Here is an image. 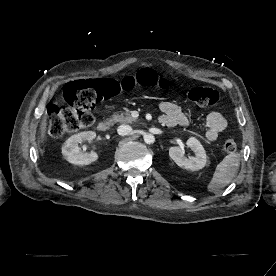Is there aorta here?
<instances>
[{
    "label": "aorta",
    "instance_id": "762f6f07",
    "mask_svg": "<svg viewBox=\"0 0 276 276\" xmlns=\"http://www.w3.org/2000/svg\"><path fill=\"white\" fill-rule=\"evenodd\" d=\"M143 138H144L145 143H147V144H152L155 141V137L151 133H146Z\"/></svg>",
    "mask_w": 276,
    "mask_h": 276
}]
</instances>
